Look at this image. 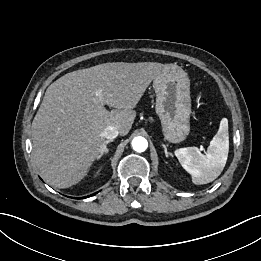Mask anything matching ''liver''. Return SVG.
<instances>
[{
	"instance_id": "1",
	"label": "liver",
	"mask_w": 261,
	"mask_h": 261,
	"mask_svg": "<svg viewBox=\"0 0 261 261\" xmlns=\"http://www.w3.org/2000/svg\"><path fill=\"white\" fill-rule=\"evenodd\" d=\"M165 69L156 62H112L53 82L32 122L33 160L43 179L62 189L83 179L103 151L104 129L115 126L121 136L127 135L134 108ZM97 91L103 93V102ZM105 104L114 109L108 111Z\"/></svg>"
}]
</instances>
